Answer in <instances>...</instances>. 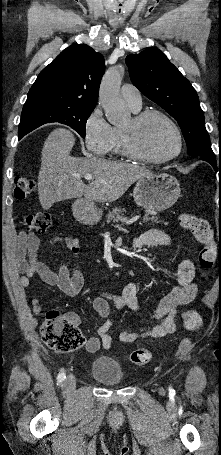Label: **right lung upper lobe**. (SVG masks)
Instances as JSON below:
<instances>
[{
    "mask_svg": "<svg viewBox=\"0 0 221 455\" xmlns=\"http://www.w3.org/2000/svg\"><path fill=\"white\" fill-rule=\"evenodd\" d=\"M104 70L102 54L86 44H73L42 70L28 92L25 105L96 106Z\"/></svg>",
    "mask_w": 221,
    "mask_h": 455,
    "instance_id": "right-lung-upper-lobe-1",
    "label": "right lung upper lobe"
}]
</instances>
